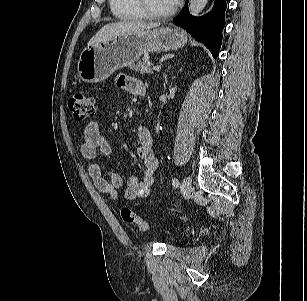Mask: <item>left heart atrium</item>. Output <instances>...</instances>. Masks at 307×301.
Instances as JSON below:
<instances>
[{
  "label": "left heart atrium",
  "instance_id": "1",
  "mask_svg": "<svg viewBox=\"0 0 307 301\" xmlns=\"http://www.w3.org/2000/svg\"><path fill=\"white\" fill-rule=\"evenodd\" d=\"M179 0H171L173 6L176 5L178 3Z\"/></svg>",
  "mask_w": 307,
  "mask_h": 301
}]
</instances>
